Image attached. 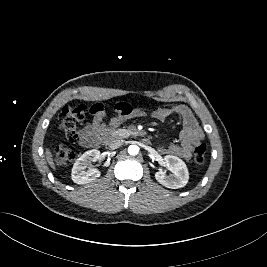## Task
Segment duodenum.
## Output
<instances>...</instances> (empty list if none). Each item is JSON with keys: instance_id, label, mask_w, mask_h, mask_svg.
I'll return each mask as SVG.
<instances>
[{"instance_id": "410a0bca", "label": "duodenum", "mask_w": 267, "mask_h": 267, "mask_svg": "<svg viewBox=\"0 0 267 267\" xmlns=\"http://www.w3.org/2000/svg\"><path fill=\"white\" fill-rule=\"evenodd\" d=\"M117 141H118V137L115 136V135L108 136V137H106V139H105V143H106V144H109V145H112V144L116 143ZM143 142H144L145 144H147V143L149 142V140H148L147 138H144V139H143Z\"/></svg>"}]
</instances>
